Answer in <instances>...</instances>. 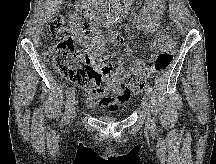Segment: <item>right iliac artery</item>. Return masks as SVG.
Returning a JSON list of instances; mask_svg holds the SVG:
<instances>
[{
  "instance_id": "right-iliac-artery-1",
  "label": "right iliac artery",
  "mask_w": 216,
  "mask_h": 164,
  "mask_svg": "<svg viewBox=\"0 0 216 164\" xmlns=\"http://www.w3.org/2000/svg\"><path fill=\"white\" fill-rule=\"evenodd\" d=\"M114 22H115V19L110 18L106 21V25L109 26L113 24ZM74 94H75V88L71 87L68 91V96H67L68 99L65 103L64 121L66 124L69 123L70 112H71L70 104H71L72 99L74 98Z\"/></svg>"
}]
</instances>
